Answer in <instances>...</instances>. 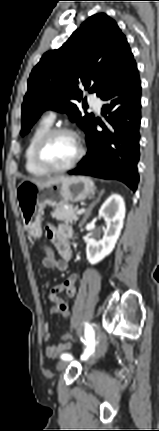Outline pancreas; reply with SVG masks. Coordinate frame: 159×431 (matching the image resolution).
I'll list each match as a JSON object with an SVG mask.
<instances>
[{
  "label": "pancreas",
  "mask_w": 159,
  "mask_h": 431,
  "mask_svg": "<svg viewBox=\"0 0 159 431\" xmlns=\"http://www.w3.org/2000/svg\"><path fill=\"white\" fill-rule=\"evenodd\" d=\"M78 206H74L71 204H68L66 206H61L56 208L52 213V218H55L59 221H64L66 223L72 224L75 223L78 220L77 216Z\"/></svg>",
  "instance_id": "pancreas-1"
}]
</instances>
